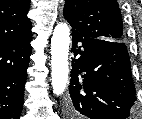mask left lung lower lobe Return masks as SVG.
I'll return each instance as SVG.
<instances>
[{"mask_svg": "<svg viewBox=\"0 0 142 119\" xmlns=\"http://www.w3.org/2000/svg\"><path fill=\"white\" fill-rule=\"evenodd\" d=\"M71 107L89 119H126L136 100L126 45L72 31ZM83 46L77 48V43Z\"/></svg>", "mask_w": 142, "mask_h": 119, "instance_id": "left-lung-lower-lobe-1", "label": "left lung lower lobe"}]
</instances>
